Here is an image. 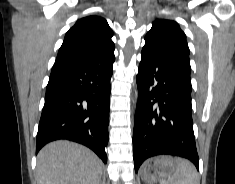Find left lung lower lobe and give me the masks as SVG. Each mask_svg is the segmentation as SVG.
I'll return each mask as SVG.
<instances>
[{"label":"left lung lower lobe","instance_id":"left-lung-lower-lobe-1","mask_svg":"<svg viewBox=\"0 0 235 184\" xmlns=\"http://www.w3.org/2000/svg\"><path fill=\"white\" fill-rule=\"evenodd\" d=\"M136 81L135 172L147 158L163 154L187 158L199 170L190 73L174 56L154 44H145Z\"/></svg>","mask_w":235,"mask_h":184}]
</instances>
